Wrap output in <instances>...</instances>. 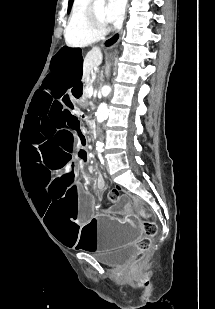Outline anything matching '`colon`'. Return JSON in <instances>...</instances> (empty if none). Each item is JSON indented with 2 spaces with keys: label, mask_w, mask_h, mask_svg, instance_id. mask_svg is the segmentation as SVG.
Segmentation results:
<instances>
[{
  "label": "colon",
  "mask_w": 215,
  "mask_h": 309,
  "mask_svg": "<svg viewBox=\"0 0 215 309\" xmlns=\"http://www.w3.org/2000/svg\"><path fill=\"white\" fill-rule=\"evenodd\" d=\"M118 198H119V192L117 190L113 189L108 193V200L111 203H116ZM144 230L146 234L145 237L140 239L136 243L135 257L138 260H141L146 257L150 249L151 237L157 233L158 227L154 221L147 219L144 221Z\"/></svg>",
  "instance_id": "1"
}]
</instances>
